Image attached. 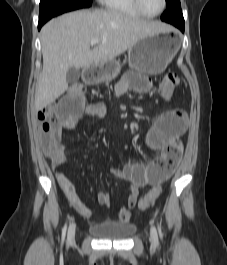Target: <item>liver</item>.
Wrapping results in <instances>:
<instances>
[{
  "mask_svg": "<svg viewBox=\"0 0 227 265\" xmlns=\"http://www.w3.org/2000/svg\"><path fill=\"white\" fill-rule=\"evenodd\" d=\"M166 30L164 25L118 11L82 10L50 20L41 30L43 70L35 95L36 111L67 90L70 68H88L114 60L137 40ZM93 38L100 39V43L91 49Z\"/></svg>",
  "mask_w": 227,
  "mask_h": 265,
  "instance_id": "liver-1",
  "label": "liver"
}]
</instances>
